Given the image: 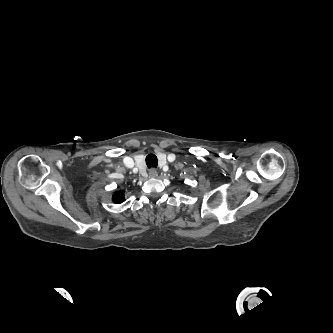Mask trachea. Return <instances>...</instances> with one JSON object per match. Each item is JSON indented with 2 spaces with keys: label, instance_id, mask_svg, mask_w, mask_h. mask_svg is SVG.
I'll list each match as a JSON object with an SVG mask.
<instances>
[{
  "label": "trachea",
  "instance_id": "1",
  "mask_svg": "<svg viewBox=\"0 0 333 333\" xmlns=\"http://www.w3.org/2000/svg\"><path fill=\"white\" fill-rule=\"evenodd\" d=\"M145 161L148 168H156L158 165V159L154 154H148Z\"/></svg>",
  "mask_w": 333,
  "mask_h": 333
}]
</instances>
